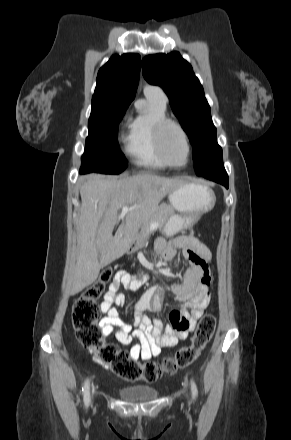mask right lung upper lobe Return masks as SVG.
Segmentation results:
<instances>
[{
	"instance_id": "right-lung-upper-lobe-1",
	"label": "right lung upper lobe",
	"mask_w": 291,
	"mask_h": 440,
	"mask_svg": "<svg viewBox=\"0 0 291 440\" xmlns=\"http://www.w3.org/2000/svg\"><path fill=\"white\" fill-rule=\"evenodd\" d=\"M140 61V56L134 53L113 55L98 72L92 106H129L139 82Z\"/></svg>"
}]
</instances>
